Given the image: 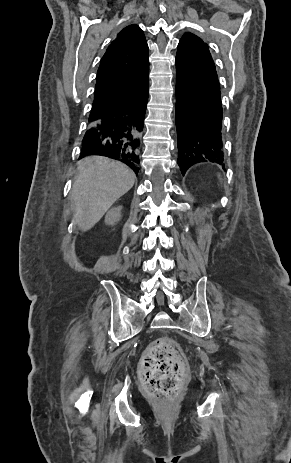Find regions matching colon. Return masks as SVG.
I'll list each match as a JSON object with an SVG mask.
<instances>
[{
	"instance_id": "1",
	"label": "colon",
	"mask_w": 291,
	"mask_h": 463,
	"mask_svg": "<svg viewBox=\"0 0 291 463\" xmlns=\"http://www.w3.org/2000/svg\"><path fill=\"white\" fill-rule=\"evenodd\" d=\"M145 391L160 402H166L179 391L187 369L179 347L160 339L147 348L140 364Z\"/></svg>"
}]
</instances>
